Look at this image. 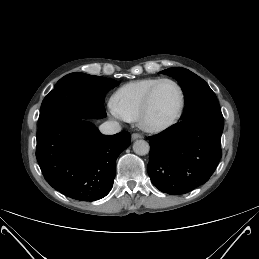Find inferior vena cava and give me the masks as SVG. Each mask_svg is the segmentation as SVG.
Instances as JSON below:
<instances>
[{"mask_svg": "<svg viewBox=\"0 0 259 259\" xmlns=\"http://www.w3.org/2000/svg\"><path fill=\"white\" fill-rule=\"evenodd\" d=\"M102 134L112 135L121 131V126L117 121H106L99 126Z\"/></svg>", "mask_w": 259, "mask_h": 259, "instance_id": "1", "label": "inferior vena cava"}]
</instances>
